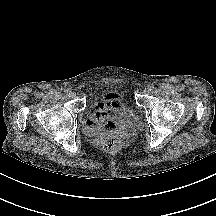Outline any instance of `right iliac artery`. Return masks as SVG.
Masks as SVG:
<instances>
[{
  "label": "right iliac artery",
  "mask_w": 216,
  "mask_h": 216,
  "mask_svg": "<svg viewBox=\"0 0 216 216\" xmlns=\"http://www.w3.org/2000/svg\"><path fill=\"white\" fill-rule=\"evenodd\" d=\"M67 95H70L71 91L69 89H65L64 91Z\"/></svg>",
  "instance_id": "right-iliac-artery-1"
}]
</instances>
